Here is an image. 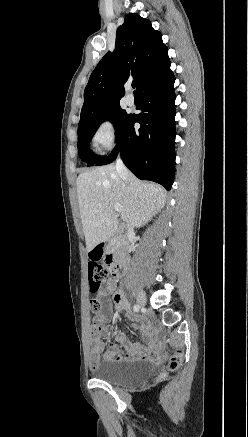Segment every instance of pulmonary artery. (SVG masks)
I'll use <instances>...</instances> for the list:
<instances>
[{"label":"pulmonary artery","instance_id":"obj_1","mask_svg":"<svg viewBox=\"0 0 248 437\" xmlns=\"http://www.w3.org/2000/svg\"><path fill=\"white\" fill-rule=\"evenodd\" d=\"M126 103H127L128 105H133V104H134V97H133V95L128 94V95L126 96Z\"/></svg>","mask_w":248,"mask_h":437}]
</instances>
